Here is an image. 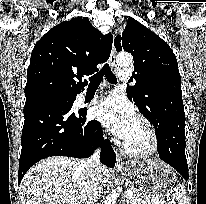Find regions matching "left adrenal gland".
<instances>
[{
  "label": "left adrenal gland",
  "instance_id": "obj_1",
  "mask_svg": "<svg viewBox=\"0 0 206 204\" xmlns=\"http://www.w3.org/2000/svg\"><path fill=\"white\" fill-rule=\"evenodd\" d=\"M124 201H126V195H124L123 202H124ZM127 203H128V200H127Z\"/></svg>",
  "mask_w": 206,
  "mask_h": 204
}]
</instances>
